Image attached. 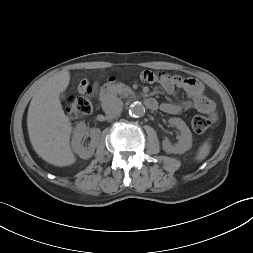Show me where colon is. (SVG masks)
<instances>
[{"label":"colon","mask_w":253,"mask_h":253,"mask_svg":"<svg viewBox=\"0 0 253 253\" xmlns=\"http://www.w3.org/2000/svg\"><path fill=\"white\" fill-rule=\"evenodd\" d=\"M91 88L87 87L79 96L72 97L66 107L67 115L71 119H77L92 111ZM211 121L203 115H196L191 120V127L195 133H204L210 126Z\"/></svg>","instance_id":"colon-1"}]
</instances>
